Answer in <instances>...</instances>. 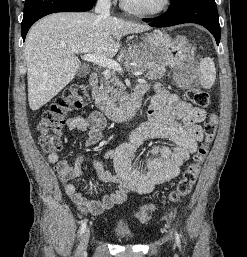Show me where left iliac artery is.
<instances>
[{
  "mask_svg": "<svg viewBox=\"0 0 247 257\" xmlns=\"http://www.w3.org/2000/svg\"><path fill=\"white\" fill-rule=\"evenodd\" d=\"M175 239H176V243L178 244V246L180 247V236L177 233V231L175 230Z\"/></svg>",
  "mask_w": 247,
  "mask_h": 257,
  "instance_id": "1",
  "label": "left iliac artery"
}]
</instances>
